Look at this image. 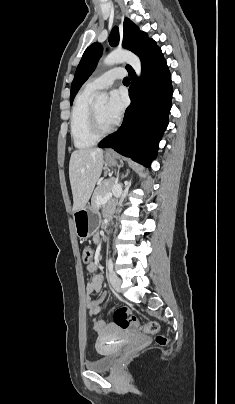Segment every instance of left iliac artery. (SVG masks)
I'll return each instance as SVG.
<instances>
[{
  "label": "left iliac artery",
  "instance_id": "44dca946",
  "mask_svg": "<svg viewBox=\"0 0 235 404\" xmlns=\"http://www.w3.org/2000/svg\"><path fill=\"white\" fill-rule=\"evenodd\" d=\"M108 270L109 272H113V262L111 258L108 260Z\"/></svg>",
  "mask_w": 235,
  "mask_h": 404
}]
</instances>
